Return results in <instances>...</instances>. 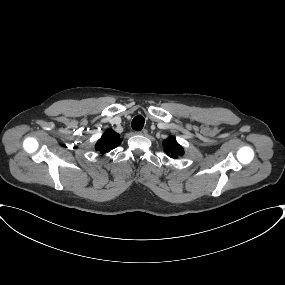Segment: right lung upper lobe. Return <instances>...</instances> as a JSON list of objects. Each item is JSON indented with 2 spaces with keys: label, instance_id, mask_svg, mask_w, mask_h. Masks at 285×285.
Segmentation results:
<instances>
[{
  "label": "right lung upper lobe",
  "instance_id": "1",
  "mask_svg": "<svg viewBox=\"0 0 285 285\" xmlns=\"http://www.w3.org/2000/svg\"><path fill=\"white\" fill-rule=\"evenodd\" d=\"M121 143L120 135L113 130H107L96 143V150L102 154L110 152L112 149L119 146Z\"/></svg>",
  "mask_w": 285,
  "mask_h": 285
}]
</instances>
